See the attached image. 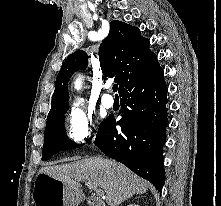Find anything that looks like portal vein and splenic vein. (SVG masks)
Returning <instances> with one entry per match:
<instances>
[{
	"label": "portal vein and splenic vein",
	"mask_w": 221,
	"mask_h": 206,
	"mask_svg": "<svg viewBox=\"0 0 221 206\" xmlns=\"http://www.w3.org/2000/svg\"><path fill=\"white\" fill-rule=\"evenodd\" d=\"M92 187V186H91ZM97 196L104 198V193L101 189H97V187H93Z\"/></svg>",
	"instance_id": "1"
}]
</instances>
